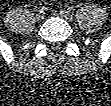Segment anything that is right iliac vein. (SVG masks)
<instances>
[{
	"mask_svg": "<svg viewBox=\"0 0 111 106\" xmlns=\"http://www.w3.org/2000/svg\"><path fill=\"white\" fill-rule=\"evenodd\" d=\"M44 12H42V11H38L37 13H36V19H37V21H41V20H43L44 19Z\"/></svg>",
	"mask_w": 111,
	"mask_h": 106,
	"instance_id": "right-iliac-vein-1",
	"label": "right iliac vein"
}]
</instances>
